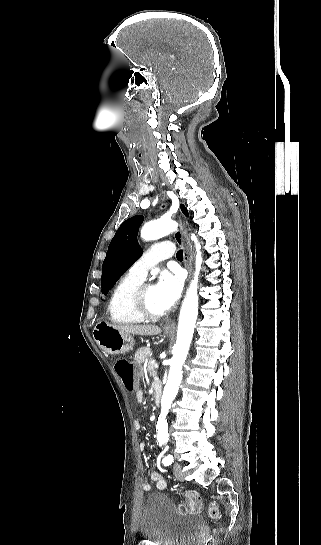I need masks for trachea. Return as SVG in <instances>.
I'll use <instances>...</instances> for the list:
<instances>
[{"mask_svg":"<svg viewBox=\"0 0 321 545\" xmlns=\"http://www.w3.org/2000/svg\"><path fill=\"white\" fill-rule=\"evenodd\" d=\"M178 260H183V250H179L176 254Z\"/></svg>","mask_w":321,"mask_h":545,"instance_id":"obj_1","label":"trachea"}]
</instances>
